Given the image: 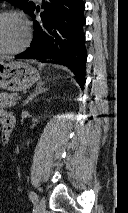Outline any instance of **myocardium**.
I'll use <instances>...</instances> for the list:
<instances>
[{
    "instance_id": "myocardium-1",
    "label": "myocardium",
    "mask_w": 128,
    "mask_h": 213,
    "mask_svg": "<svg viewBox=\"0 0 128 213\" xmlns=\"http://www.w3.org/2000/svg\"><path fill=\"white\" fill-rule=\"evenodd\" d=\"M5 16H11V17H15V18L19 19L22 22L24 29H25L24 40L18 47L14 48V49H8V50L0 49V55H2V56L16 55V54L23 52L30 44L31 36H32L31 27H30L28 20L25 18V16L17 10H14V9L1 10L0 18L5 17Z\"/></svg>"
}]
</instances>
